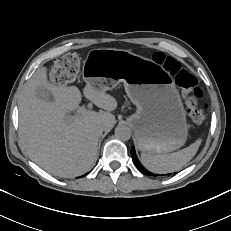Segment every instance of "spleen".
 <instances>
[{
	"label": "spleen",
	"instance_id": "3e777b00",
	"mask_svg": "<svg viewBox=\"0 0 231 231\" xmlns=\"http://www.w3.org/2000/svg\"><path fill=\"white\" fill-rule=\"evenodd\" d=\"M201 139L195 141L190 146L170 154L152 155L141 153L143 165L150 171L159 174L171 173L181 170L196 154Z\"/></svg>",
	"mask_w": 231,
	"mask_h": 231
}]
</instances>
